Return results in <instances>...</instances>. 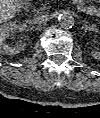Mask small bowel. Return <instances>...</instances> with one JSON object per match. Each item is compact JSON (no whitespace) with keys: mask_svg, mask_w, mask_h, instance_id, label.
<instances>
[{"mask_svg":"<svg viewBox=\"0 0 100 118\" xmlns=\"http://www.w3.org/2000/svg\"><path fill=\"white\" fill-rule=\"evenodd\" d=\"M78 7L87 8L85 0H78Z\"/></svg>","mask_w":100,"mask_h":118,"instance_id":"1","label":"small bowel"}]
</instances>
